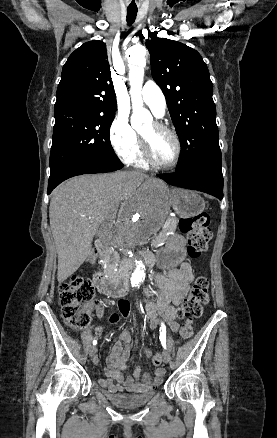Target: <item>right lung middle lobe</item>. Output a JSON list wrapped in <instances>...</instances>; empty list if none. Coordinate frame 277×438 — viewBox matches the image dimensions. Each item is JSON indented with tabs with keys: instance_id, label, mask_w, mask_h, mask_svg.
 I'll return each instance as SVG.
<instances>
[{
	"instance_id": "dd1d6c3e",
	"label": "right lung middle lobe",
	"mask_w": 277,
	"mask_h": 438,
	"mask_svg": "<svg viewBox=\"0 0 277 438\" xmlns=\"http://www.w3.org/2000/svg\"><path fill=\"white\" fill-rule=\"evenodd\" d=\"M115 115L55 116L50 152V176L64 168L92 161H119L110 144Z\"/></svg>"
}]
</instances>
